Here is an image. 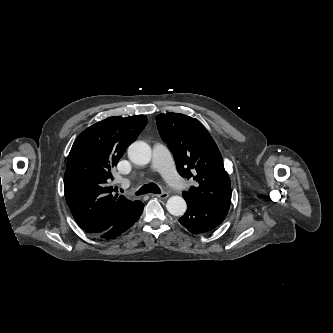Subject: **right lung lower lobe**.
Returning <instances> with one entry per match:
<instances>
[{
	"label": "right lung lower lobe",
	"mask_w": 333,
	"mask_h": 333,
	"mask_svg": "<svg viewBox=\"0 0 333 333\" xmlns=\"http://www.w3.org/2000/svg\"><path fill=\"white\" fill-rule=\"evenodd\" d=\"M144 208V204L140 201L139 207L131 213L129 216L106 230L102 232L96 237L106 238V239H113L122 233H124L127 229H129L140 217Z\"/></svg>",
	"instance_id": "1"
}]
</instances>
